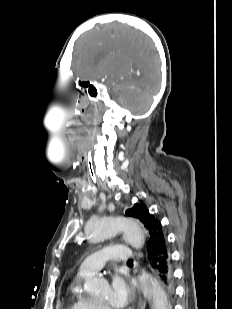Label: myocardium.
<instances>
[{"label":"myocardium","mask_w":232,"mask_h":309,"mask_svg":"<svg viewBox=\"0 0 232 309\" xmlns=\"http://www.w3.org/2000/svg\"><path fill=\"white\" fill-rule=\"evenodd\" d=\"M100 309H110L108 305L97 303Z\"/></svg>","instance_id":"f54148a6"}]
</instances>
